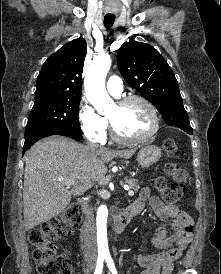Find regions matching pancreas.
I'll return each instance as SVG.
<instances>
[{
  "instance_id": "obj_1",
  "label": "pancreas",
  "mask_w": 221,
  "mask_h": 274,
  "mask_svg": "<svg viewBox=\"0 0 221 274\" xmlns=\"http://www.w3.org/2000/svg\"><path fill=\"white\" fill-rule=\"evenodd\" d=\"M125 182L133 189L134 192H138L140 185L137 179H125Z\"/></svg>"
}]
</instances>
